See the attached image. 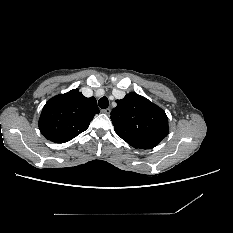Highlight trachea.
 I'll list each match as a JSON object with an SVG mask.
<instances>
[{
  "instance_id": "obj_1",
  "label": "trachea",
  "mask_w": 233,
  "mask_h": 233,
  "mask_svg": "<svg viewBox=\"0 0 233 233\" xmlns=\"http://www.w3.org/2000/svg\"><path fill=\"white\" fill-rule=\"evenodd\" d=\"M98 105L102 109H106L109 106V100L107 97L103 96L98 100Z\"/></svg>"
}]
</instances>
